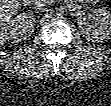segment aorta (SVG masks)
Segmentation results:
<instances>
[{"label": "aorta", "mask_w": 111, "mask_h": 106, "mask_svg": "<svg viewBox=\"0 0 111 106\" xmlns=\"http://www.w3.org/2000/svg\"><path fill=\"white\" fill-rule=\"evenodd\" d=\"M56 15L58 17H62L64 15V11L60 9V10L57 11Z\"/></svg>", "instance_id": "1"}]
</instances>
